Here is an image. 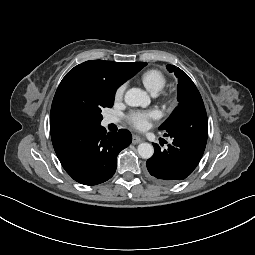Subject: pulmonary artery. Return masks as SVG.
Masks as SVG:
<instances>
[{"mask_svg":"<svg viewBox=\"0 0 255 255\" xmlns=\"http://www.w3.org/2000/svg\"><path fill=\"white\" fill-rule=\"evenodd\" d=\"M116 122H117V120L113 117H107L105 119V124H111V123H116Z\"/></svg>","mask_w":255,"mask_h":255,"instance_id":"obj_1","label":"pulmonary artery"}]
</instances>
